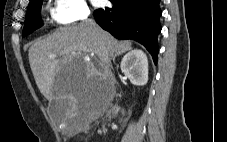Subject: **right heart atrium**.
<instances>
[{
    "instance_id": "1",
    "label": "right heart atrium",
    "mask_w": 227,
    "mask_h": 142,
    "mask_svg": "<svg viewBox=\"0 0 227 142\" xmlns=\"http://www.w3.org/2000/svg\"><path fill=\"white\" fill-rule=\"evenodd\" d=\"M90 10L85 0H54L52 18L59 24H72L86 21Z\"/></svg>"
}]
</instances>
